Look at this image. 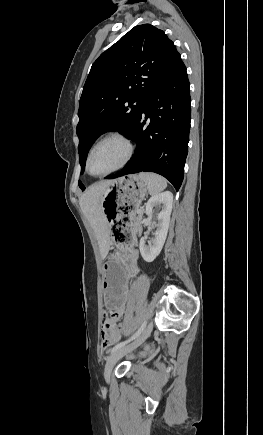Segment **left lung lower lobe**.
<instances>
[{
  "instance_id": "obj_1",
  "label": "left lung lower lobe",
  "mask_w": 263,
  "mask_h": 435,
  "mask_svg": "<svg viewBox=\"0 0 263 435\" xmlns=\"http://www.w3.org/2000/svg\"><path fill=\"white\" fill-rule=\"evenodd\" d=\"M145 119L143 120V118ZM148 119V127H144ZM191 120V99L182 60L150 94L129 136L137 149L126 168L108 179L142 171L155 172L178 190L184 178Z\"/></svg>"
}]
</instances>
